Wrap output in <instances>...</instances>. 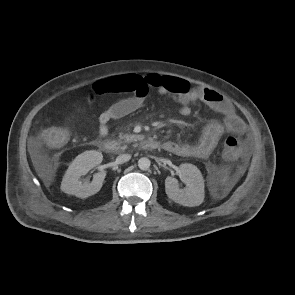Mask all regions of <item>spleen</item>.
<instances>
[{"mask_svg":"<svg viewBox=\"0 0 295 295\" xmlns=\"http://www.w3.org/2000/svg\"><path fill=\"white\" fill-rule=\"evenodd\" d=\"M227 180V174H225L224 176H223V178L221 179V182H225Z\"/></svg>","mask_w":295,"mask_h":295,"instance_id":"3e777b00","label":"spleen"}]
</instances>
